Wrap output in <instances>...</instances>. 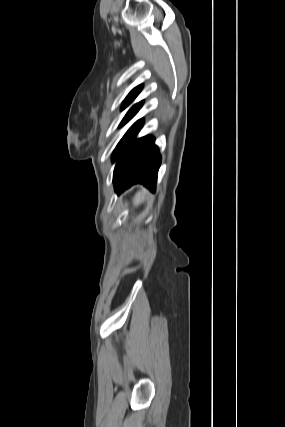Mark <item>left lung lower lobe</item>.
<instances>
[{
	"mask_svg": "<svg viewBox=\"0 0 285 427\" xmlns=\"http://www.w3.org/2000/svg\"><path fill=\"white\" fill-rule=\"evenodd\" d=\"M142 125L143 119L138 120L114 151L113 160H117V164L113 183L118 194L135 183H142L152 191L155 189L161 157L153 137L134 139Z\"/></svg>",
	"mask_w": 285,
	"mask_h": 427,
	"instance_id": "left-lung-lower-lobe-1",
	"label": "left lung lower lobe"
}]
</instances>
